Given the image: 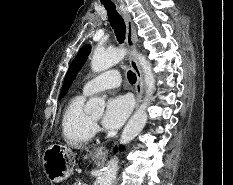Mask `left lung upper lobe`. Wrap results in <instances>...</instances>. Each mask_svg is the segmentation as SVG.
Listing matches in <instances>:
<instances>
[{"instance_id":"5c2ea615","label":"left lung upper lobe","mask_w":233,"mask_h":185,"mask_svg":"<svg viewBox=\"0 0 233 185\" xmlns=\"http://www.w3.org/2000/svg\"><path fill=\"white\" fill-rule=\"evenodd\" d=\"M90 49H91L90 45L83 46L80 49L77 56L75 57V59L73 60V62L71 63L69 70L67 72L63 87H62L60 98L65 95V93L67 92L68 88L70 87L72 81L74 80L77 72L82 67V65L85 63V61L90 53Z\"/></svg>"}]
</instances>
